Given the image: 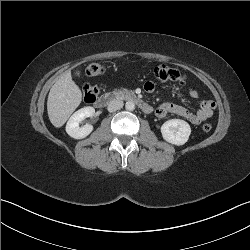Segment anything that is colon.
<instances>
[{
    "label": "colon",
    "instance_id": "1",
    "mask_svg": "<svg viewBox=\"0 0 250 250\" xmlns=\"http://www.w3.org/2000/svg\"><path fill=\"white\" fill-rule=\"evenodd\" d=\"M86 73L90 77L100 76L104 73V66L98 62L91 63L87 67ZM152 74L156 79L162 82L171 81L177 82L179 84H185L186 82L185 75H183L179 70L167 67L165 65L156 66L152 70ZM99 92L100 89L97 85L85 84L83 86L84 101L87 103H93L99 95ZM202 129L204 132H209L212 129V126L209 123H205L202 126Z\"/></svg>",
    "mask_w": 250,
    "mask_h": 250
}]
</instances>
